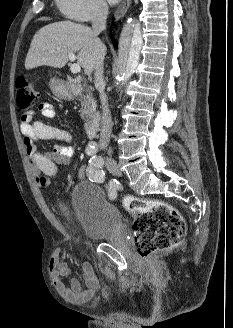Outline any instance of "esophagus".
Wrapping results in <instances>:
<instances>
[{"label": "esophagus", "instance_id": "34e87169", "mask_svg": "<svg viewBox=\"0 0 233 328\" xmlns=\"http://www.w3.org/2000/svg\"><path fill=\"white\" fill-rule=\"evenodd\" d=\"M132 0H123L120 6L116 9L114 16L116 20H119L124 14L127 12L128 8L130 7Z\"/></svg>", "mask_w": 233, "mask_h": 328}]
</instances>
